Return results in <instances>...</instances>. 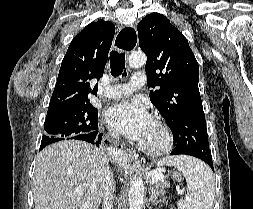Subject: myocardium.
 I'll return each mask as SVG.
<instances>
[{"mask_svg":"<svg viewBox=\"0 0 253 209\" xmlns=\"http://www.w3.org/2000/svg\"><path fill=\"white\" fill-rule=\"evenodd\" d=\"M154 122L160 127L163 134V142L158 147H148L139 143V149L149 156H161L167 153L173 145V135L168 124L160 117H155Z\"/></svg>","mask_w":253,"mask_h":209,"instance_id":"1","label":"myocardium"}]
</instances>
